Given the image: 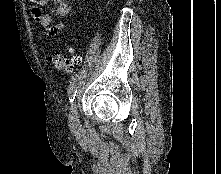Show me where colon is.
Segmentation results:
<instances>
[{
  "label": "colon",
  "mask_w": 221,
  "mask_h": 174,
  "mask_svg": "<svg viewBox=\"0 0 221 174\" xmlns=\"http://www.w3.org/2000/svg\"><path fill=\"white\" fill-rule=\"evenodd\" d=\"M49 62L58 70L71 72L80 63V58L77 55L55 53L49 57Z\"/></svg>",
  "instance_id": "1"
}]
</instances>
